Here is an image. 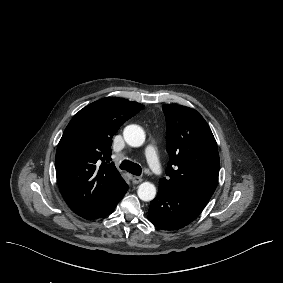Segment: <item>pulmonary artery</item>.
<instances>
[{"label":"pulmonary artery","mask_w":283,"mask_h":283,"mask_svg":"<svg viewBox=\"0 0 283 283\" xmlns=\"http://www.w3.org/2000/svg\"><path fill=\"white\" fill-rule=\"evenodd\" d=\"M156 150L157 147L154 144L148 145L144 150L145 155L143 156V159L146 161L147 165L151 168L155 175L158 178H161L164 175V171L161 158L156 155Z\"/></svg>","instance_id":"e3ab8cb5"}]
</instances>
